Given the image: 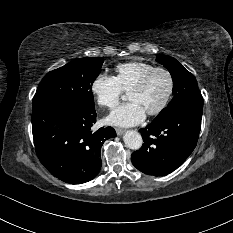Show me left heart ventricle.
Here are the masks:
<instances>
[{"label": "left heart ventricle", "mask_w": 233, "mask_h": 233, "mask_svg": "<svg viewBox=\"0 0 233 233\" xmlns=\"http://www.w3.org/2000/svg\"><path fill=\"white\" fill-rule=\"evenodd\" d=\"M169 81L165 73H156L144 89L130 92L128 99L137 102L146 113L156 109L164 100L168 91Z\"/></svg>", "instance_id": "b2bd125f"}]
</instances>
